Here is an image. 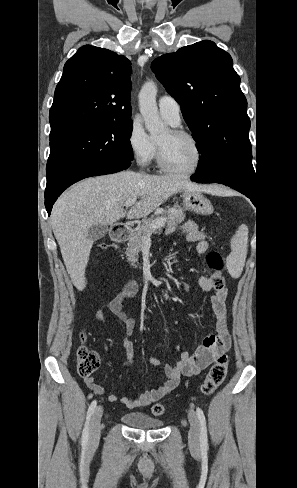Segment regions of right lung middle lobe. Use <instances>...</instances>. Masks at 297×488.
Here are the masks:
<instances>
[{
  "label": "right lung middle lobe",
  "mask_w": 297,
  "mask_h": 488,
  "mask_svg": "<svg viewBox=\"0 0 297 488\" xmlns=\"http://www.w3.org/2000/svg\"><path fill=\"white\" fill-rule=\"evenodd\" d=\"M132 126V120L92 123L50 134L46 188L90 165L131 162Z\"/></svg>",
  "instance_id": "obj_1"
}]
</instances>
